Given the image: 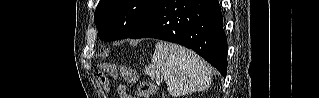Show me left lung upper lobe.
<instances>
[{"mask_svg": "<svg viewBox=\"0 0 319 98\" xmlns=\"http://www.w3.org/2000/svg\"><path fill=\"white\" fill-rule=\"evenodd\" d=\"M159 0H100L94 21L101 40L128 38L148 19Z\"/></svg>", "mask_w": 319, "mask_h": 98, "instance_id": "5c2ea615", "label": "left lung upper lobe"}]
</instances>
